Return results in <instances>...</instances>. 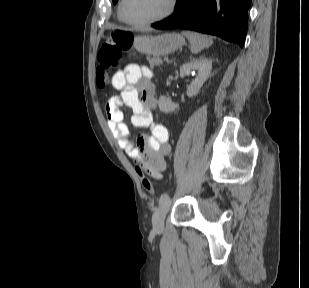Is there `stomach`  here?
<instances>
[{"label": "stomach", "instance_id": "1", "mask_svg": "<svg viewBox=\"0 0 309 288\" xmlns=\"http://www.w3.org/2000/svg\"><path fill=\"white\" fill-rule=\"evenodd\" d=\"M184 43V38L177 33H165L157 36L143 35L134 38V47L137 51L155 57L167 55Z\"/></svg>", "mask_w": 309, "mask_h": 288}]
</instances>
